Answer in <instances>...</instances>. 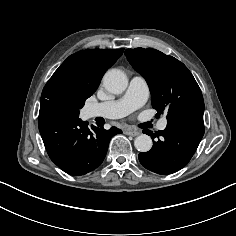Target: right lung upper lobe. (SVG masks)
<instances>
[{
	"label": "right lung upper lobe",
	"mask_w": 236,
	"mask_h": 236,
	"mask_svg": "<svg viewBox=\"0 0 236 236\" xmlns=\"http://www.w3.org/2000/svg\"><path fill=\"white\" fill-rule=\"evenodd\" d=\"M124 49H86L69 56L46 85L67 78L92 92L98 88L105 71L122 55ZM45 85V86H46Z\"/></svg>",
	"instance_id": "obj_1"
}]
</instances>
